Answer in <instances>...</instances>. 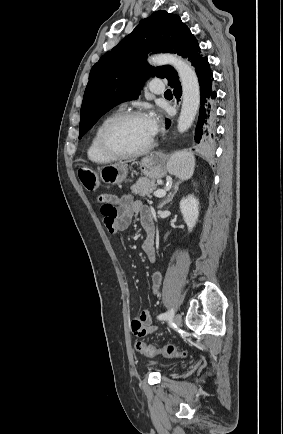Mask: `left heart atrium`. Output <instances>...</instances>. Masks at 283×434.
Returning <instances> with one entry per match:
<instances>
[{"mask_svg": "<svg viewBox=\"0 0 283 434\" xmlns=\"http://www.w3.org/2000/svg\"><path fill=\"white\" fill-rule=\"evenodd\" d=\"M146 123L151 136L153 137L159 128V119L155 114H150L146 117Z\"/></svg>", "mask_w": 283, "mask_h": 434, "instance_id": "obj_1", "label": "left heart atrium"}]
</instances>
